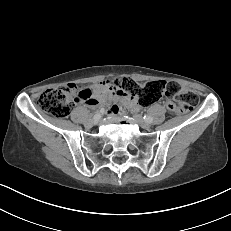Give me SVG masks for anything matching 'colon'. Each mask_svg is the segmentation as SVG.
<instances>
[{
    "label": "colon",
    "instance_id": "obj_1",
    "mask_svg": "<svg viewBox=\"0 0 231 231\" xmlns=\"http://www.w3.org/2000/svg\"><path fill=\"white\" fill-rule=\"evenodd\" d=\"M114 90L130 96H138L141 106H150L160 99H166L168 110L175 114L192 110L198 103V96L184 90L177 82L156 80L139 85L129 78L116 79L112 83ZM84 96L75 84H67L60 88L44 91L39 99V108L56 118L67 117L74 105Z\"/></svg>",
    "mask_w": 231,
    "mask_h": 231
}]
</instances>
